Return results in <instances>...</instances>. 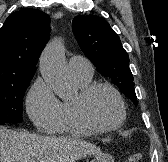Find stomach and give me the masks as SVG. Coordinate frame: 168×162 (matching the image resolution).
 <instances>
[{
	"instance_id": "1",
	"label": "stomach",
	"mask_w": 168,
	"mask_h": 162,
	"mask_svg": "<svg viewBox=\"0 0 168 162\" xmlns=\"http://www.w3.org/2000/svg\"><path fill=\"white\" fill-rule=\"evenodd\" d=\"M90 162H115L114 158L109 154H96Z\"/></svg>"
}]
</instances>
